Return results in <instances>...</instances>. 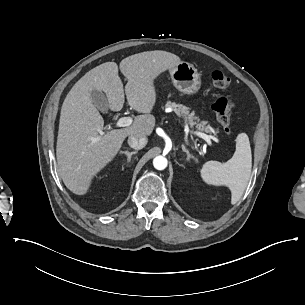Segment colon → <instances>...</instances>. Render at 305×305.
<instances>
[{
	"label": "colon",
	"mask_w": 305,
	"mask_h": 305,
	"mask_svg": "<svg viewBox=\"0 0 305 305\" xmlns=\"http://www.w3.org/2000/svg\"><path fill=\"white\" fill-rule=\"evenodd\" d=\"M211 79L214 86L218 89H226L231 83L230 77L221 70H215L211 74ZM217 120L227 134L232 133L231 112L233 104L225 97H219L213 102Z\"/></svg>",
	"instance_id": "colon-1"
}]
</instances>
